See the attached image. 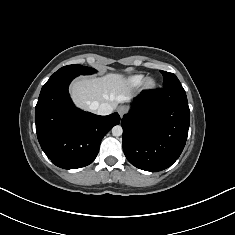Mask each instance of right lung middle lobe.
<instances>
[{
	"mask_svg": "<svg viewBox=\"0 0 235 235\" xmlns=\"http://www.w3.org/2000/svg\"><path fill=\"white\" fill-rule=\"evenodd\" d=\"M96 70L90 67H85L82 65L74 64V65H68L60 68L58 71H56L51 77L58 76V75H88L95 73Z\"/></svg>",
	"mask_w": 235,
	"mask_h": 235,
	"instance_id": "dd1d6c3e",
	"label": "right lung middle lobe"
}]
</instances>
